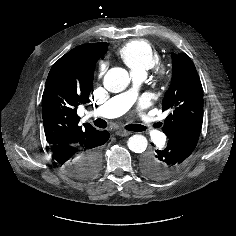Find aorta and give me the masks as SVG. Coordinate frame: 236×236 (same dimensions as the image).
<instances>
[{"label": "aorta", "mask_w": 236, "mask_h": 236, "mask_svg": "<svg viewBox=\"0 0 236 236\" xmlns=\"http://www.w3.org/2000/svg\"><path fill=\"white\" fill-rule=\"evenodd\" d=\"M104 87L112 92L119 93L127 88L130 83L128 72L120 67L111 68L105 74ZM128 148L135 153H142L146 150L148 142L143 135H133L127 142Z\"/></svg>", "instance_id": "762f6f07"}]
</instances>
